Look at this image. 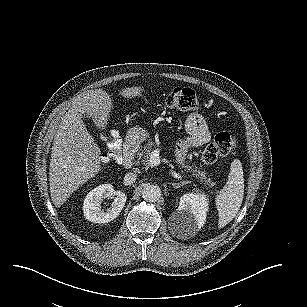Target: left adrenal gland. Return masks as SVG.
<instances>
[{
	"mask_svg": "<svg viewBox=\"0 0 307 307\" xmlns=\"http://www.w3.org/2000/svg\"><path fill=\"white\" fill-rule=\"evenodd\" d=\"M191 183V181H181L180 183H172V186L177 189L180 188L181 186Z\"/></svg>",
	"mask_w": 307,
	"mask_h": 307,
	"instance_id": "obj_1",
	"label": "left adrenal gland"
}]
</instances>
